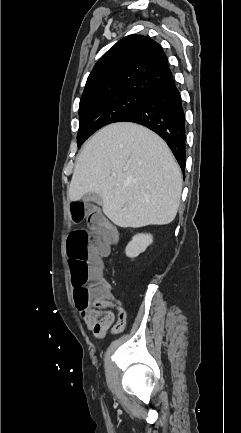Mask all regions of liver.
<instances>
[{"label": "liver", "instance_id": "obj_1", "mask_svg": "<svg viewBox=\"0 0 241 433\" xmlns=\"http://www.w3.org/2000/svg\"><path fill=\"white\" fill-rule=\"evenodd\" d=\"M182 174L167 144L141 125L118 122L100 129L82 148L68 197L89 192L117 226L171 223L177 214Z\"/></svg>", "mask_w": 241, "mask_h": 433}]
</instances>
